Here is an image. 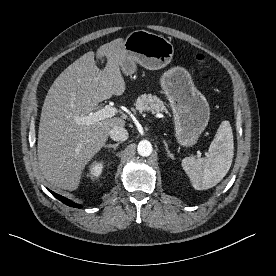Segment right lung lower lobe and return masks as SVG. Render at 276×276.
I'll list each match as a JSON object with an SVG mask.
<instances>
[{
    "mask_svg": "<svg viewBox=\"0 0 276 276\" xmlns=\"http://www.w3.org/2000/svg\"><path fill=\"white\" fill-rule=\"evenodd\" d=\"M48 191H49L54 197H56L58 200H60L61 202L65 203L66 205H68V206H70V207H75V208H82L81 205L76 204V203L70 201L69 199H67V198H65V197H63V196H61V195H59V194H56V193H54L53 191H51V190H49V189H48Z\"/></svg>",
    "mask_w": 276,
    "mask_h": 276,
    "instance_id": "right-lung-lower-lobe-1",
    "label": "right lung lower lobe"
}]
</instances>
